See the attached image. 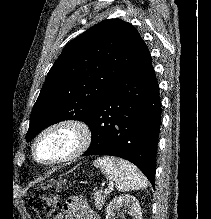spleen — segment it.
<instances>
[{"instance_id": "obj_1", "label": "spleen", "mask_w": 211, "mask_h": 219, "mask_svg": "<svg viewBox=\"0 0 211 219\" xmlns=\"http://www.w3.org/2000/svg\"><path fill=\"white\" fill-rule=\"evenodd\" d=\"M94 166L100 168L105 176L115 183L121 192L139 190L147 187L145 176L134 165L126 160L102 157L94 161Z\"/></svg>"}]
</instances>
